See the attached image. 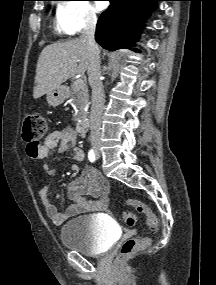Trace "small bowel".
<instances>
[{"label":"small bowel","mask_w":216,"mask_h":285,"mask_svg":"<svg viewBox=\"0 0 216 285\" xmlns=\"http://www.w3.org/2000/svg\"><path fill=\"white\" fill-rule=\"evenodd\" d=\"M78 131L72 127L52 131L42 145L39 155L36 158H46L51 150L58 149L60 152H71L73 158L77 161H83L85 153L82 148L77 146ZM48 174H52L54 169L49 164L44 166ZM51 186L47 185L39 192L40 200L44 206L47 216L56 225H61L67 219L82 213L97 212L104 210L109 203V186L97 170L93 167H86L80 176L69 183L67 192L72 203L61 212L51 200ZM92 197L94 200L87 199Z\"/></svg>","instance_id":"c3829d8e"}]
</instances>
